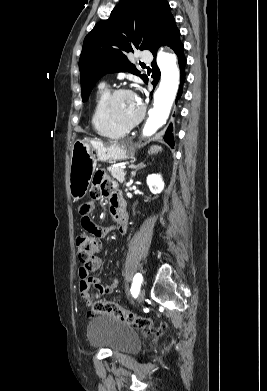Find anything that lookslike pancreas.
Listing matches in <instances>:
<instances>
[{"label":"pancreas","instance_id":"pancreas-1","mask_svg":"<svg viewBox=\"0 0 267 391\" xmlns=\"http://www.w3.org/2000/svg\"><path fill=\"white\" fill-rule=\"evenodd\" d=\"M107 170L111 173L112 177L118 180L119 182H124L125 181V171L121 166H116V167H109Z\"/></svg>","mask_w":267,"mask_h":391}]
</instances>
